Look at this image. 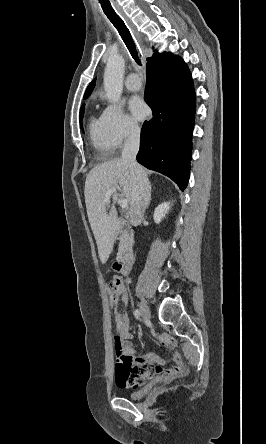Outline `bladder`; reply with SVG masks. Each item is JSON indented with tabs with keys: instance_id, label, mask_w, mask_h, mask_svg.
<instances>
[{
	"instance_id": "obj_1",
	"label": "bladder",
	"mask_w": 266,
	"mask_h": 444,
	"mask_svg": "<svg viewBox=\"0 0 266 444\" xmlns=\"http://www.w3.org/2000/svg\"><path fill=\"white\" fill-rule=\"evenodd\" d=\"M159 380L153 379L147 385L142 388L131 390L127 393L130 398H142L150 393L154 387L158 384Z\"/></svg>"
}]
</instances>
